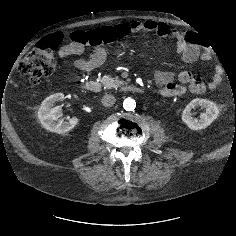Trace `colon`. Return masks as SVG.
I'll use <instances>...</instances> for the list:
<instances>
[{
    "label": "colon",
    "instance_id": "1",
    "mask_svg": "<svg viewBox=\"0 0 236 236\" xmlns=\"http://www.w3.org/2000/svg\"><path fill=\"white\" fill-rule=\"evenodd\" d=\"M129 30L126 25L103 27L90 31H77L71 34V39L90 48H110L117 40L124 37ZM63 40L60 33L44 38L19 64L20 74L32 85H38L42 79L50 76L56 69L57 61L54 56Z\"/></svg>",
    "mask_w": 236,
    "mask_h": 236
}]
</instances>
